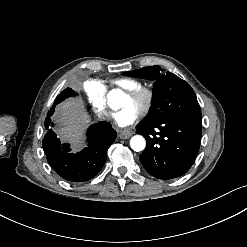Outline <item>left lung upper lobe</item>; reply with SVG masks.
Instances as JSON below:
<instances>
[{"mask_svg": "<svg viewBox=\"0 0 247 247\" xmlns=\"http://www.w3.org/2000/svg\"><path fill=\"white\" fill-rule=\"evenodd\" d=\"M160 66H150L123 73L155 80L152 106L141 124L152 125L171 117H187L201 122V110L190 85L173 73H160Z\"/></svg>", "mask_w": 247, "mask_h": 247, "instance_id": "1", "label": "left lung upper lobe"}]
</instances>
